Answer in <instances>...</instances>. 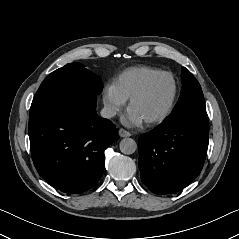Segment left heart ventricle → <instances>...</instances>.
I'll use <instances>...</instances> for the list:
<instances>
[{"mask_svg": "<svg viewBox=\"0 0 239 239\" xmlns=\"http://www.w3.org/2000/svg\"><path fill=\"white\" fill-rule=\"evenodd\" d=\"M173 91L172 81L162 76L155 80L143 96L130 107L143 120L162 112L167 106Z\"/></svg>", "mask_w": 239, "mask_h": 239, "instance_id": "1", "label": "left heart ventricle"}]
</instances>
